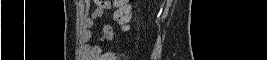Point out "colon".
<instances>
[{"label":"colon","mask_w":267,"mask_h":60,"mask_svg":"<svg viewBox=\"0 0 267 60\" xmlns=\"http://www.w3.org/2000/svg\"><path fill=\"white\" fill-rule=\"evenodd\" d=\"M131 0H116L114 1L115 12L114 18L126 30L130 26L131 15L133 13Z\"/></svg>","instance_id":"colon-1"}]
</instances>
